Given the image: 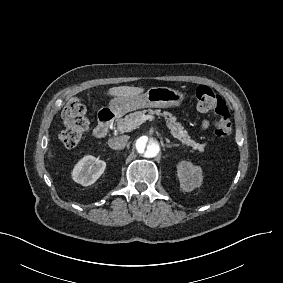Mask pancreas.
I'll use <instances>...</instances> for the list:
<instances>
[{"label":"pancreas","instance_id":"obj_1","mask_svg":"<svg viewBox=\"0 0 283 283\" xmlns=\"http://www.w3.org/2000/svg\"><path fill=\"white\" fill-rule=\"evenodd\" d=\"M149 115H157V116H164V119L166 120V127L171 130L172 136L174 138H177L179 142L190 146L193 150H197L199 153H203L204 149L207 147V144H199L196 143L195 140H192L190 136H188L187 131L183 130L184 127L179 123L175 121V117H173L169 112L164 111L162 112L159 109L148 110ZM144 115V112L138 111L134 113H130L125 118H122L118 120L117 128L120 131V133L129 132L135 129L138 125H140L142 121V116ZM183 130L184 135L180 133V131Z\"/></svg>","mask_w":283,"mask_h":283}]
</instances>
